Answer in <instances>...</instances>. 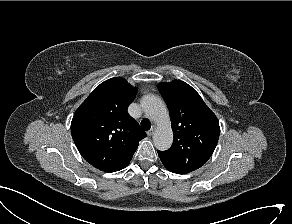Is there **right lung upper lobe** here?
<instances>
[{"mask_svg": "<svg viewBox=\"0 0 292 224\" xmlns=\"http://www.w3.org/2000/svg\"><path fill=\"white\" fill-rule=\"evenodd\" d=\"M137 89L122 77L101 83L75 111L71 134L83 158L108 172L130 162L146 133L127 109Z\"/></svg>", "mask_w": 292, "mask_h": 224, "instance_id": "1", "label": "right lung upper lobe"}]
</instances>
